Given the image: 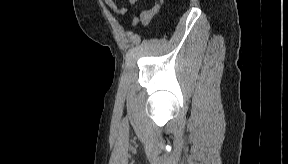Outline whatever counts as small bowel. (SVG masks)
Segmentation results:
<instances>
[{
	"instance_id": "small-bowel-1",
	"label": "small bowel",
	"mask_w": 288,
	"mask_h": 164,
	"mask_svg": "<svg viewBox=\"0 0 288 164\" xmlns=\"http://www.w3.org/2000/svg\"><path fill=\"white\" fill-rule=\"evenodd\" d=\"M158 10H159V7L154 6L152 9L142 12L140 15V18L147 14L152 19V17L158 12Z\"/></svg>"
}]
</instances>
